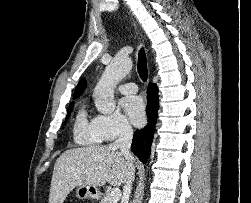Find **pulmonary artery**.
<instances>
[{
	"mask_svg": "<svg viewBox=\"0 0 251 203\" xmlns=\"http://www.w3.org/2000/svg\"><path fill=\"white\" fill-rule=\"evenodd\" d=\"M118 90L124 94L136 93L138 87L135 83H123L118 86Z\"/></svg>",
	"mask_w": 251,
	"mask_h": 203,
	"instance_id": "1",
	"label": "pulmonary artery"
}]
</instances>
